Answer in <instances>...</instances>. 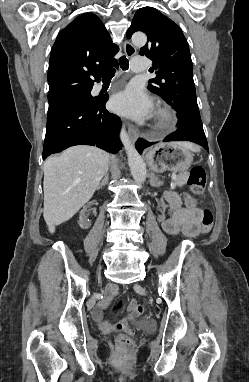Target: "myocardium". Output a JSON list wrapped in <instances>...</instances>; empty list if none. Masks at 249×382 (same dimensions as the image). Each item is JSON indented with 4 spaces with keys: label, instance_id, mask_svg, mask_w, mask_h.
Returning a JSON list of instances; mask_svg holds the SVG:
<instances>
[{
    "label": "myocardium",
    "instance_id": "f54148a6",
    "mask_svg": "<svg viewBox=\"0 0 249 382\" xmlns=\"http://www.w3.org/2000/svg\"><path fill=\"white\" fill-rule=\"evenodd\" d=\"M175 115L168 107H158L154 114L153 130L157 132H166L175 124Z\"/></svg>",
    "mask_w": 249,
    "mask_h": 382
}]
</instances>
